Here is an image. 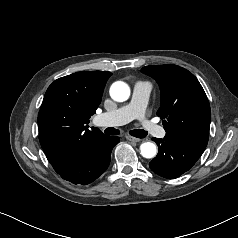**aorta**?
Segmentation results:
<instances>
[{
	"instance_id": "aorta-1",
	"label": "aorta",
	"mask_w": 238,
	"mask_h": 238,
	"mask_svg": "<svg viewBox=\"0 0 238 238\" xmlns=\"http://www.w3.org/2000/svg\"><path fill=\"white\" fill-rule=\"evenodd\" d=\"M110 96L118 102L126 101L130 96V88L125 82H114L110 87ZM140 153L144 158H153L157 153L156 145L152 142H144L140 145Z\"/></svg>"
}]
</instances>
